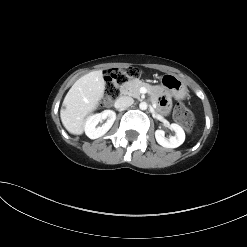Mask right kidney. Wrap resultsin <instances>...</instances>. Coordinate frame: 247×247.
<instances>
[{
    "instance_id": "ca27d5eb",
    "label": "right kidney",
    "mask_w": 247,
    "mask_h": 247,
    "mask_svg": "<svg viewBox=\"0 0 247 247\" xmlns=\"http://www.w3.org/2000/svg\"><path fill=\"white\" fill-rule=\"evenodd\" d=\"M105 119H107L106 123L102 126L96 127L99 122ZM115 119L116 113L112 110H104L101 113L94 114L88 117L85 122V134L90 139H97L107 133V131L112 127Z\"/></svg>"
}]
</instances>
